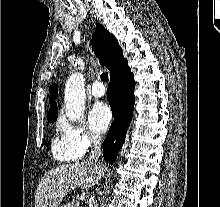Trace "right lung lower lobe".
<instances>
[{
    "label": "right lung lower lobe",
    "mask_w": 220,
    "mask_h": 207,
    "mask_svg": "<svg viewBox=\"0 0 220 207\" xmlns=\"http://www.w3.org/2000/svg\"><path fill=\"white\" fill-rule=\"evenodd\" d=\"M134 75L128 67L127 60L121 58L110 72L107 99L113 112L114 121L103 143L104 158L113 163L122 147L127 127L133 116Z\"/></svg>",
    "instance_id": "obj_1"
}]
</instances>
